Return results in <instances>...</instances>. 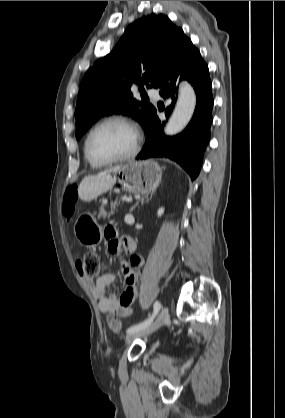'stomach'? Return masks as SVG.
<instances>
[{"label": "stomach", "mask_w": 285, "mask_h": 418, "mask_svg": "<svg viewBox=\"0 0 285 418\" xmlns=\"http://www.w3.org/2000/svg\"><path fill=\"white\" fill-rule=\"evenodd\" d=\"M122 189L130 193H145L156 188L162 179V169L153 160L131 161L119 167L113 173ZM77 239L89 244V239L99 242L102 239V227L95 219L79 217L74 226Z\"/></svg>", "instance_id": "1"}]
</instances>
